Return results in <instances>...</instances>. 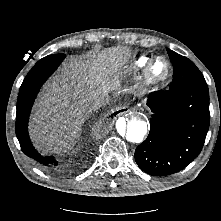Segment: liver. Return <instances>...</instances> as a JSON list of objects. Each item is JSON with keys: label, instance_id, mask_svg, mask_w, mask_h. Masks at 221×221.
<instances>
[{"label": "liver", "instance_id": "obj_1", "mask_svg": "<svg viewBox=\"0 0 221 221\" xmlns=\"http://www.w3.org/2000/svg\"><path fill=\"white\" fill-rule=\"evenodd\" d=\"M129 52L113 47L98 55L72 58L47 83L30 121L31 139L45 152L70 149L92 112V102L121 87Z\"/></svg>", "mask_w": 221, "mask_h": 221}]
</instances>
